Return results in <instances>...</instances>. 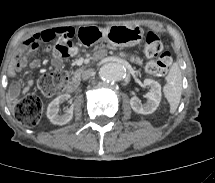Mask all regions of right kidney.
<instances>
[{"label": "right kidney", "mask_w": 215, "mask_h": 183, "mask_svg": "<svg viewBox=\"0 0 215 183\" xmlns=\"http://www.w3.org/2000/svg\"><path fill=\"white\" fill-rule=\"evenodd\" d=\"M69 99V94H63L59 95L49 103L47 108V117L53 124L65 125L72 119L73 106H70L64 114H58L60 104H62L64 101H68Z\"/></svg>", "instance_id": "ca27d5eb"}]
</instances>
